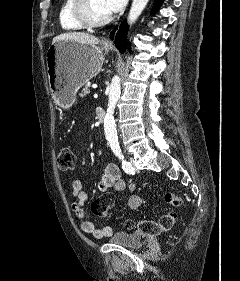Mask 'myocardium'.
<instances>
[{
    "mask_svg": "<svg viewBox=\"0 0 240 281\" xmlns=\"http://www.w3.org/2000/svg\"><path fill=\"white\" fill-rule=\"evenodd\" d=\"M72 15L76 21L89 28L101 27L112 20L111 14H108L105 17H97L92 0H74Z\"/></svg>",
    "mask_w": 240,
    "mask_h": 281,
    "instance_id": "f54148a6",
    "label": "myocardium"
}]
</instances>
